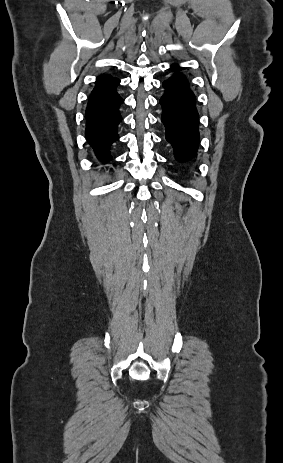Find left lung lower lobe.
<instances>
[{
  "instance_id": "obj_1",
  "label": "left lung lower lobe",
  "mask_w": 283,
  "mask_h": 463,
  "mask_svg": "<svg viewBox=\"0 0 283 463\" xmlns=\"http://www.w3.org/2000/svg\"><path fill=\"white\" fill-rule=\"evenodd\" d=\"M173 70L179 67L171 65ZM165 93L160 99L163 113L161 120L166 127V140L173 146L175 157L185 162L194 157L199 144L198 113L195 96L187 79L174 74L163 82Z\"/></svg>"
}]
</instances>
